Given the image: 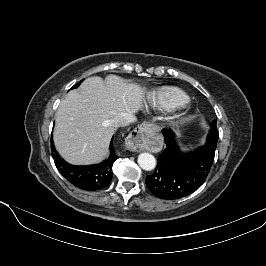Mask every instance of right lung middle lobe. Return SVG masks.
I'll list each match as a JSON object with an SVG mask.
<instances>
[{"label":"right lung middle lobe","mask_w":266,"mask_h":266,"mask_svg":"<svg viewBox=\"0 0 266 266\" xmlns=\"http://www.w3.org/2000/svg\"><path fill=\"white\" fill-rule=\"evenodd\" d=\"M82 81H83V80H82ZM82 81H81V82H82ZM78 85H80V82H79L78 84L74 85L71 89L78 87Z\"/></svg>","instance_id":"1"}]
</instances>
